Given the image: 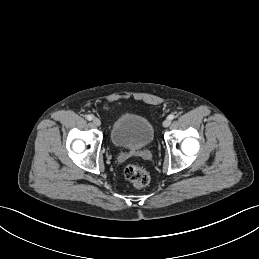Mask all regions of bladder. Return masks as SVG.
Listing matches in <instances>:
<instances>
[{"mask_svg":"<svg viewBox=\"0 0 259 259\" xmlns=\"http://www.w3.org/2000/svg\"><path fill=\"white\" fill-rule=\"evenodd\" d=\"M112 143L124 150H142L153 141L154 130L151 122L142 115L123 113L111 127Z\"/></svg>","mask_w":259,"mask_h":259,"instance_id":"1","label":"bladder"}]
</instances>
